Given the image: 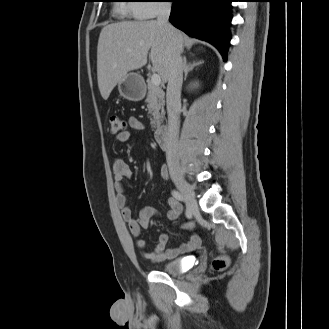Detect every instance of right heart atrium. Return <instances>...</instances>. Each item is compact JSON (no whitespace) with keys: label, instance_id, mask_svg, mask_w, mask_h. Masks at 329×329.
<instances>
[{"label":"right heart atrium","instance_id":"1","mask_svg":"<svg viewBox=\"0 0 329 329\" xmlns=\"http://www.w3.org/2000/svg\"><path fill=\"white\" fill-rule=\"evenodd\" d=\"M167 0H136L133 3L132 14L137 19H150L167 9L163 2Z\"/></svg>","mask_w":329,"mask_h":329}]
</instances>
